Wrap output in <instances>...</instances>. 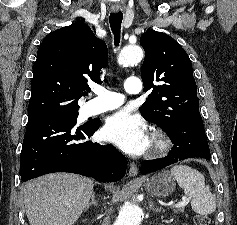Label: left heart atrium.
<instances>
[{
    "label": "left heart atrium",
    "mask_w": 237,
    "mask_h": 225,
    "mask_svg": "<svg viewBox=\"0 0 237 225\" xmlns=\"http://www.w3.org/2000/svg\"><path fill=\"white\" fill-rule=\"evenodd\" d=\"M103 134L106 140L133 155L143 153L149 143L143 120L126 110H121L107 119Z\"/></svg>",
    "instance_id": "39dd6f15"
}]
</instances>
